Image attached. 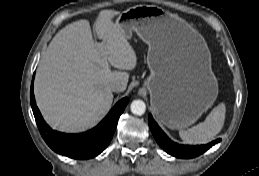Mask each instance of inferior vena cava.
Wrapping results in <instances>:
<instances>
[{
  "instance_id": "obj_1",
  "label": "inferior vena cava",
  "mask_w": 259,
  "mask_h": 176,
  "mask_svg": "<svg viewBox=\"0 0 259 176\" xmlns=\"http://www.w3.org/2000/svg\"><path fill=\"white\" fill-rule=\"evenodd\" d=\"M110 89L113 92L123 91V86L119 82H114L110 85Z\"/></svg>"
}]
</instances>
